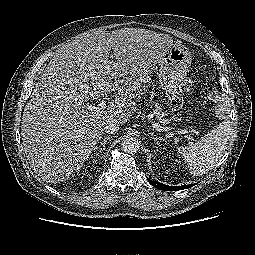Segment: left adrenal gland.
<instances>
[{"label":"left adrenal gland","mask_w":255,"mask_h":255,"mask_svg":"<svg viewBox=\"0 0 255 255\" xmlns=\"http://www.w3.org/2000/svg\"><path fill=\"white\" fill-rule=\"evenodd\" d=\"M149 134L152 136V139L158 144V140H163L161 137H155L154 133L149 132Z\"/></svg>","instance_id":"left-adrenal-gland-1"}]
</instances>
